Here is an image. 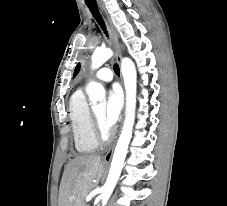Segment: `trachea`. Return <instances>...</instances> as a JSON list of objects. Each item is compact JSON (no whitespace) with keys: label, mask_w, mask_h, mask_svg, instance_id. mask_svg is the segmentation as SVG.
Instances as JSON below:
<instances>
[{"label":"trachea","mask_w":227,"mask_h":206,"mask_svg":"<svg viewBox=\"0 0 227 206\" xmlns=\"http://www.w3.org/2000/svg\"><path fill=\"white\" fill-rule=\"evenodd\" d=\"M86 5L88 6V8L90 9L93 17L96 19V21L98 22V24L101 26V28L103 29L104 33L107 34L106 31V27H105V23L104 20L98 10V6L95 0H87L86 1ZM114 72L116 75H120V69H119V65L118 64H114Z\"/></svg>","instance_id":"trachea-1"}]
</instances>
